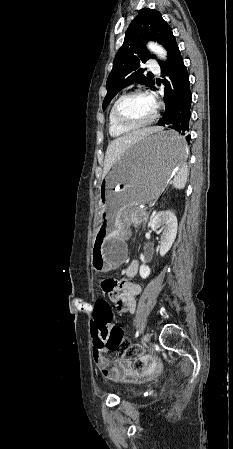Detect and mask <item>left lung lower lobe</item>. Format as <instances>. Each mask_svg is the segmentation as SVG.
Wrapping results in <instances>:
<instances>
[{
    "instance_id": "left-lung-lower-lobe-1",
    "label": "left lung lower lobe",
    "mask_w": 233,
    "mask_h": 449,
    "mask_svg": "<svg viewBox=\"0 0 233 449\" xmlns=\"http://www.w3.org/2000/svg\"><path fill=\"white\" fill-rule=\"evenodd\" d=\"M165 85V111L157 125L171 129L164 139V145L171 151H178L190 141L189 122L192 94L189 75L177 48L166 63L161 65Z\"/></svg>"
}]
</instances>
